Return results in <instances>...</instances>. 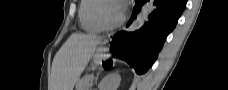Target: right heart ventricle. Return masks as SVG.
Returning <instances> with one entry per match:
<instances>
[{"label":"right heart ventricle","mask_w":228,"mask_h":90,"mask_svg":"<svg viewBox=\"0 0 228 90\" xmlns=\"http://www.w3.org/2000/svg\"><path fill=\"white\" fill-rule=\"evenodd\" d=\"M99 0H82L80 3L78 17L82 28L89 33H98L103 28L95 20V8Z\"/></svg>","instance_id":"obj_1"}]
</instances>
